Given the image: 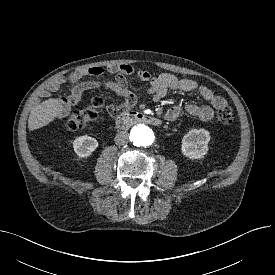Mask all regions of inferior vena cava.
I'll return each instance as SVG.
<instances>
[{
  "instance_id": "602c4592",
  "label": "inferior vena cava",
  "mask_w": 275,
  "mask_h": 275,
  "mask_svg": "<svg viewBox=\"0 0 275 275\" xmlns=\"http://www.w3.org/2000/svg\"><path fill=\"white\" fill-rule=\"evenodd\" d=\"M129 142V135L127 132H119L115 136V143L119 146L126 145Z\"/></svg>"
}]
</instances>
